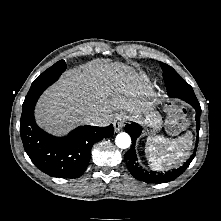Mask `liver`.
<instances>
[{"mask_svg": "<svg viewBox=\"0 0 221 221\" xmlns=\"http://www.w3.org/2000/svg\"><path fill=\"white\" fill-rule=\"evenodd\" d=\"M152 95L147 82L123 63L93 60L78 69L66 71L60 80L44 92L38 101L37 123L55 135L92 123L107 126L114 111L140 114ZM96 114L98 119L88 122Z\"/></svg>", "mask_w": 221, "mask_h": 221, "instance_id": "6515ba94", "label": "liver"}]
</instances>
